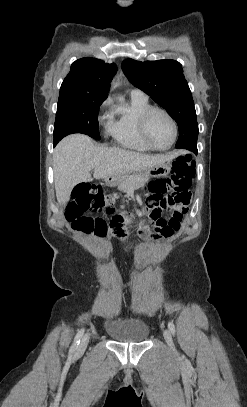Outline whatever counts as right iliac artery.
<instances>
[{"label": "right iliac artery", "instance_id": "right-iliac-artery-1", "mask_svg": "<svg viewBox=\"0 0 247 407\" xmlns=\"http://www.w3.org/2000/svg\"><path fill=\"white\" fill-rule=\"evenodd\" d=\"M83 334H84V329L79 330L78 333L76 334V336L74 338V342H73V344H72V346H71V348L69 350L70 354L75 353V350L77 349Z\"/></svg>", "mask_w": 247, "mask_h": 407}]
</instances>
